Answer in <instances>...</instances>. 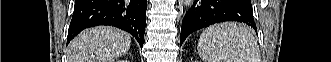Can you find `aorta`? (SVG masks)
Wrapping results in <instances>:
<instances>
[{
    "label": "aorta",
    "instance_id": "obj_1",
    "mask_svg": "<svg viewBox=\"0 0 331 62\" xmlns=\"http://www.w3.org/2000/svg\"><path fill=\"white\" fill-rule=\"evenodd\" d=\"M185 7L189 8L193 4L194 0H182Z\"/></svg>",
    "mask_w": 331,
    "mask_h": 62
}]
</instances>
